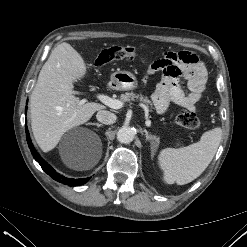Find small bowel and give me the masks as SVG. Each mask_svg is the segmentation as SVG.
<instances>
[{
	"label": "small bowel",
	"instance_id": "1",
	"mask_svg": "<svg viewBox=\"0 0 247 247\" xmlns=\"http://www.w3.org/2000/svg\"><path fill=\"white\" fill-rule=\"evenodd\" d=\"M163 72L162 80L157 84L152 100L158 113L166 112L170 103L193 111L205 89L206 69L198 57L189 52H166L153 62L149 73ZM182 81L186 83L187 92Z\"/></svg>",
	"mask_w": 247,
	"mask_h": 247
}]
</instances>
